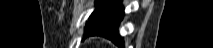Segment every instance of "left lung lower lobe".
Instances as JSON below:
<instances>
[{"label": "left lung lower lobe", "instance_id": "left-lung-lower-lobe-1", "mask_svg": "<svg viewBox=\"0 0 213 48\" xmlns=\"http://www.w3.org/2000/svg\"><path fill=\"white\" fill-rule=\"evenodd\" d=\"M124 11L121 0H118L111 7L96 14L85 27L84 38L100 35L110 39L120 48H124L121 36L118 33V26L123 19Z\"/></svg>", "mask_w": 213, "mask_h": 48}]
</instances>
